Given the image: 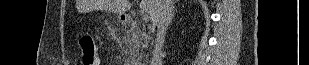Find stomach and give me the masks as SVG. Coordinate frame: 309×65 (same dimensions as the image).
I'll return each mask as SVG.
<instances>
[{
  "mask_svg": "<svg viewBox=\"0 0 309 65\" xmlns=\"http://www.w3.org/2000/svg\"><path fill=\"white\" fill-rule=\"evenodd\" d=\"M119 21H122L121 16L118 17Z\"/></svg>",
  "mask_w": 309,
  "mask_h": 65,
  "instance_id": "obj_1",
  "label": "stomach"
}]
</instances>
